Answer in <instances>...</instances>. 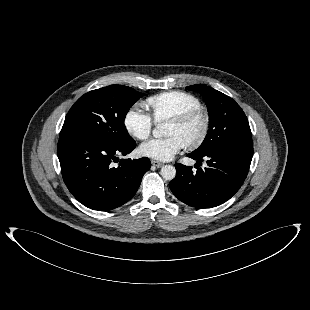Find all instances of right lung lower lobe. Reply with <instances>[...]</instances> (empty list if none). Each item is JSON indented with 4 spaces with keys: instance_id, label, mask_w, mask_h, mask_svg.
<instances>
[{
    "instance_id": "obj_1",
    "label": "right lung lower lobe",
    "mask_w": 310,
    "mask_h": 310,
    "mask_svg": "<svg viewBox=\"0 0 310 310\" xmlns=\"http://www.w3.org/2000/svg\"><path fill=\"white\" fill-rule=\"evenodd\" d=\"M136 147L132 139L122 144L90 137L60 138L57 147L61 172L72 195L86 207L108 211L117 208L136 193L143 175L150 169L147 157L121 159Z\"/></svg>"
}]
</instances>
